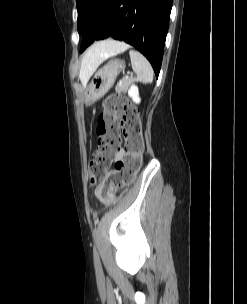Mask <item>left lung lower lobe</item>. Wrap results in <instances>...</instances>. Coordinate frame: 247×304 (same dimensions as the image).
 Segmentation results:
<instances>
[{
  "mask_svg": "<svg viewBox=\"0 0 247 304\" xmlns=\"http://www.w3.org/2000/svg\"><path fill=\"white\" fill-rule=\"evenodd\" d=\"M171 8L172 0H107L99 20L83 30L80 51L113 37L139 50L158 77Z\"/></svg>",
  "mask_w": 247,
  "mask_h": 304,
  "instance_id": "1",
  "label": "left lung lower lobe"
}]
</instances>
